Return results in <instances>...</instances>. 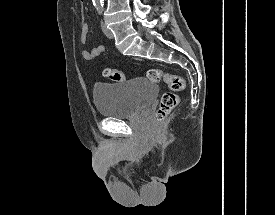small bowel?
Returning a JSON list of instances; mask_svg holds the SVG:
<instances>
[{
	"instance_id": "small-bowel-1",
	"label": "small bowel",
	"mask_w": 275,
	"mask_h": 215,
	"mask_svg": "<svg viewBox=\"0 0 275 215\" xmlns=\"http://www.w3.org/2000/svg\"><path fill=\"white\" fill-rule=\"evenodd\" d=\"M84 0H82L83 2ZM88 22L85 18H83L80 22V41L83 45H86L88 39ZM105 50L104 45H99L97 47L88 50L86 48L82 49L81 54L85 60L92 61L99 57V55Z\"/></svg>"
}]
</instances>
